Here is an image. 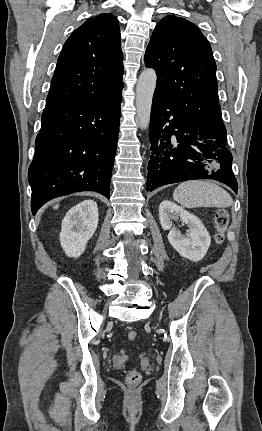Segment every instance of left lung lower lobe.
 I'll return each instance as SVG.
<instances>
[{"instance_id": "1", "label": "left lung lower lobe", "mask_w": 262, "mask_h": 431, "mask_svg": "<svg viewBox=\"0 0 262 431\" xmlns=\"http://www.w3.org/2000/svg\"><path fill=\"white\" fill-rule=\"evenodd\" d=\"M149 138L147 190L186 180L214 179L237 192L225 127L208 130L197 126L155 91Z\"/></svg>"}]
</instances>
